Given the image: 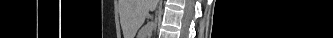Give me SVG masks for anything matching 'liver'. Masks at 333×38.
Segmentation results:
<instances>
[{
  "instance_id": "obj_1",
  "label": "liver",
  "mask_w": 333,
  "mask_h": 38,
  "mask_svg": "<svg viewBox=\"0 0 333 38\" xmlns=\"http://www.w3.org/2000/svg\"><path fill=\"white\" fill-rule=\"evenodd\" d=\"M158 0H136L135 2L127 0L122 2L121 11L133 8L135 25L138 28L145 20L150 10H154Z\"/></svg>"
}]
</instances>
